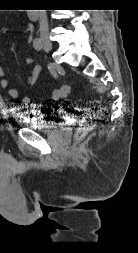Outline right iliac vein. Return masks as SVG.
I'll return each instance as SVG.
<instances>
[{"instance_id":"63e3f726","label":"right iliac vein","mask_w":138,"mask_h":253,"mask_svg":"<svg viewBox=\"0 0 138 253\" xmlns=\"http://www.w3.org/2000/svg\"><path fill=\"white\" fill-rule=\"evenodd\" d=\"M42 43H43V46H44V48L46 49V50H51L52 49V44H51V42L49 41V39L48 38H43L42 39Z\"/></svg>"}]
</instances>
